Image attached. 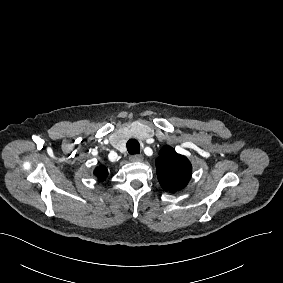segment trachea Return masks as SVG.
I'll return each mask as SVG.
<instances>
[{"mask_svg":"<svg viewBox=\"0 0 283 283\" xmlns=\"http://www.w3.org/2000/svg\"><path fill=\"white\" fill-rule=\"evenodd\" d=\"M128 152L132 154H139L140 153V144L137 139H130L127 144Z\"/></svg>","mask_w":283,"mask_h":283,"instance_id":"trachea-1","label":"trachea"}]
</instances>
